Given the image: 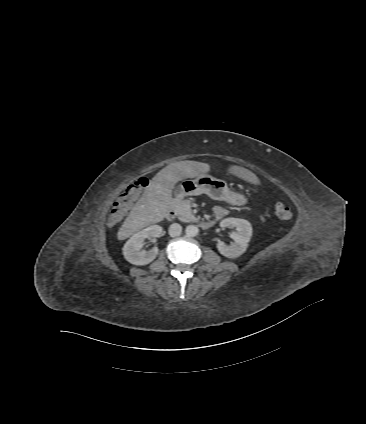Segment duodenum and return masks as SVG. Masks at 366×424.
Here are the masks:
<instances>
[{"instance_id": "obj_1", "label": "duodenum", "mask_w": 366, "mask_h": 424, "mask_svg": "<svg viewBox=\"0 0 366 424\" xmlns=\"http://www.w3.org/2000/svg\"><path fill=\"white\" fill-rule=\"evenodd\" d=\"M174 216H175V211H174L173 208H170L167 211V218L168 219H172ZM213 225H214V221L213 220L203 221L200 224L201 228L204 229V230L210 229Z\"/></svg>"}]
</instances>
